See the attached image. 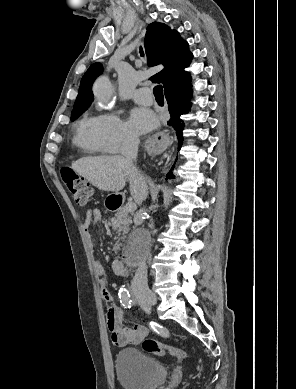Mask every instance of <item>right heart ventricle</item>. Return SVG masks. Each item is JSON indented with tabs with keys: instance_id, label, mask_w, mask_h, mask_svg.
Instances as JSON below:
<instances>
[{
	"instance_id": "right-heart-ventricle-1",
	"label": "right heart ventricle",
	"mask_w": 296,
	"mask_h": 389,
	"mask_svg": "<svg viewBox=\"0 0 296 389\" xmlns=\"http://www.w3.org/2000/svg\"><path fill=\"white\" fill-rule=\"evenodd\" d=\"M74 143L90 153L106 151L99 133L98 117L86 116L77 123Z\"/></svg>"
}]
</instances>
